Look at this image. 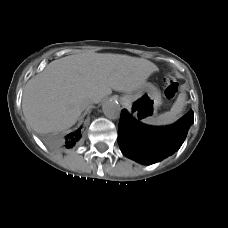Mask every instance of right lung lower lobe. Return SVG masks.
Returning a JSON list of instances; mask_svg holds the SVG:
<instances>
[{"label":"right lung lower lobe","mask_w":228,"mask_h":228,"mask_svg":"<svg viewBox=\"0 0 228 228\" xmlns=\"http://www.w3.org/2000/svg\"><path fill=\"white\" fill-rule=\"evenodd\" d=\"M82 136V127L74 132L69 133L65 137L51 140V145L57 149H69L78 143Z\"/></svg>","instance_id":"obj_1"}]
</instances>
